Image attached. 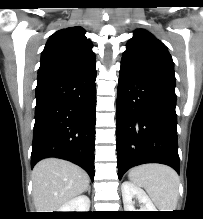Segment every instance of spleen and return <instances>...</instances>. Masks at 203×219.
Listing matches in <instances>:
<instances>
[{
    "label": "spleen",
    "mask_w": 203,
    "mask_h": 219,
    "mask_svg": "<svg viewBox=\"0 0 203 219\" xmlns=\"http://www.w3.org/2000/svg\"><path fill=\"white\" fill-rule=\"evenodd\" d=\"M128 177L137 186L145 188L159 211L176 210L179 177L172 168L161 164H144L132 168Z\"/></svg>",
    "instance_id": "obj_1"
}]
</instances>
